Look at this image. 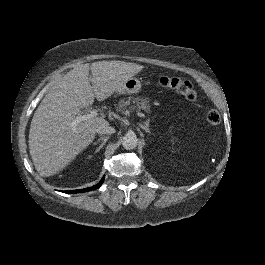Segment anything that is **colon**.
Here are the masks:
<instances>
[{
	"mask_svg": "<svg viewBox=\"0 0 265 265\" xmlns=\"http://www.w3.org/2000/svg\"><path fill=\"white\" fill-rule=\"evenodd\" d=\"M160 85L177 91L183 95L188 101H195L197 93L191 82L180 77L164 76L160 79ZM207 121L212 126H218L221 121L219 111L211 109L207 114Z\"/></svg>",
	"mask_w": 265,
	"mask_h": 265,
	"instance_id": "5ec220e1",
	"label": "colon"
}]
</instances>
